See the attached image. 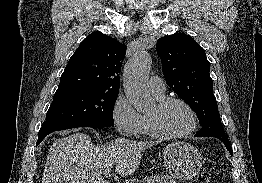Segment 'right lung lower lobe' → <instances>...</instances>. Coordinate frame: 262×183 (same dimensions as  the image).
Masks as SVG:
<instances>
[{
  "mask_svg": "<svg viewBox=\"0 0 262 183\" xmlns=\"http://www.w3.org/2000/svg\"><path fill=\"white\" fill-rule=\"evenodd\" d=\"M76 127H93L87 124H75V125H59V126H51V127H42L39 131L38 141L36 146L50 133L58 130H65ZM98 128V127H95Z\"/></svg>",
  "mask_w": 262,
  "mask_h": 183,
  "instance_id": "1",
  "label": "right lung lower lobe"
}]
</instances>
